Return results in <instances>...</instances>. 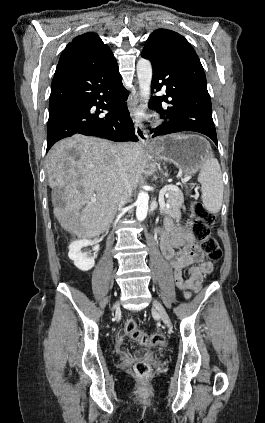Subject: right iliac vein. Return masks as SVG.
<instances>
[{"mask_svg":"<svg viewBox=\"0 0 265 423\" xmlns=\"http://www.w3.org/2000/svg\"><path fill=\"white\" fill-rule=\"evenodd\" d=\"M119 309V303H116L114 306H113V310H118Z\"/></svg>","mask_w":265,"mask_h":423,"instance_id":"right-iliac-vein-1","label":"right iliac vein"}]
</instances>
